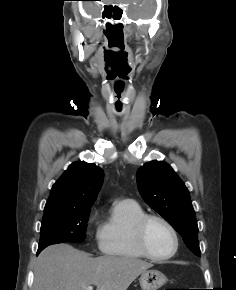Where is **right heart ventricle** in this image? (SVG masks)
<instances>
[{"mask_svg":"<svg viewBox=\"0 0 236 290\" xmlns=\"http://www.w3.org/2000/svg\"><path fill=\"white\" fill-rule=\"evenodd\" d=\"M145 214L141 205L133 200L116 202L110 217L99 230L101 252L124 259L144 258L135 240L134 226Z\"/></svg>","mask_w":236,"mask_h":290,"instance_id":"obj_1","label":"right heart ventricle"}]
</instances>
